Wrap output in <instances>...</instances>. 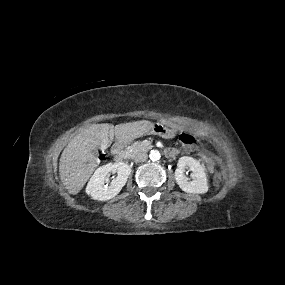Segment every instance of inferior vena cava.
Listing matches in <instances>:
<instances>
[{
  "instance_id": "inferior-vena-cava-1",
  "label": "inferior vena cava",
  "mask_w": 285,
  "mask_h": 285,
  "mask_svg": "<svg viewBox=\"0 0 285 285\" xmlns=\"http://www.w3.org/2000/svg\"><path fill=\"white\" fill-rule=\"evenodd\" d=\"M148 158V155L145 153V152H141V153H138L135 157H134V161L135 162H144L146 161Z\"/></svg>"
}]
</instances>
